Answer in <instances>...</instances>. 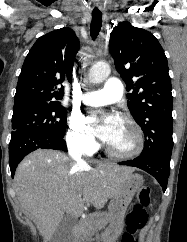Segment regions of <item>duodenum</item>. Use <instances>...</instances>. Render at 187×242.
Masks as SVG:
<instances>
[{"label":"duodenum","instance_id":"obj_1","mask_svg":"<svg viewBox=\"0 0 187 242\" xmlns=\"http://www.w3.org/2000/svg\"><path fill=\"white\" fill-rule=\"evenodd\" d=\"M77 230H78V227H77V226H75V227H74V229H73V231H75V232H76Z\"/></svg>","mask_w":187,"mask_h":242}]
</instances>
